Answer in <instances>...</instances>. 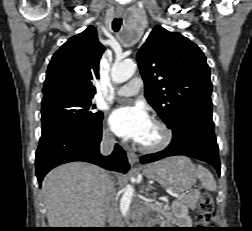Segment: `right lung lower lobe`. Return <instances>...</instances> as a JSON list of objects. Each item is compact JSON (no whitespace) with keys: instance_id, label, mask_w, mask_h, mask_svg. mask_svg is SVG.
Listing matches in <instances>:
<instances>
[{"instance_id":"1","label":"right lung lower lobe","mask_w":252,"mask_h":231,"mask_svg":"<svg viewBox=\"0 0 252 231\" xmlns=\"http://www.w3.org/2000/svg\"><path fill=\"white\" fill-rule=\"evenodd\" d=\"M101 137L102 124L95 128L61 125L42 132L35 159L39 184L52 168L72 161L89 162L126 173L130 166L125 151L116 144L111 155H101Z\"/></svg>"}]
</instances>
